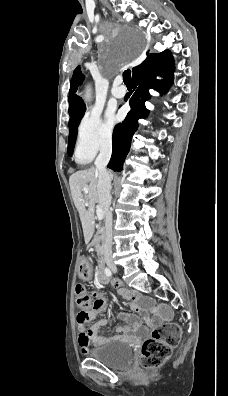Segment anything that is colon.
<instances>
[{
  "mask_svg": "<svg viewBox=\"0 0 228 396\" xmlns=\"http://www.w3.org/2000/svg\"><path fill=\"white\" fill-rule=\"evenodd\" d=\"M76 304L79 309L77 323L84 327L90 318L94 301L87 293L83 284L75 288ZM181 335L180 327L175 323H163L156 327L141 346L140 364L145 368H155L170 356L172 349L177 346Z\"/></svg>",
  "mask_w": 228,
  "mask_h": 396,
  "instance_id": "1",
  "label": "colon"
}]
</instances>
